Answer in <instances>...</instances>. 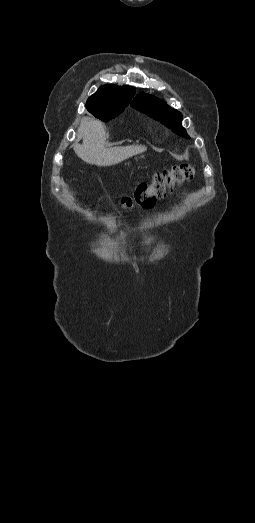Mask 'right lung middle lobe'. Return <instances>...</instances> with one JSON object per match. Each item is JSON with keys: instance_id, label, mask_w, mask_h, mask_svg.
<instances>
[{"instance_id": "obj_1", "label": "right lung middle lobe", "mask_w": 255, "mask_h": 523, "mask_svg": "<svg viewBox=\"0 0 255 523\" xmlns=\"http://www.w3.org/2000/svg\"><path fill=\"white\" fill-rule=\"evenodd\" d=\"M130 101L127 102H118V103H108V104H97L87 107V110L94 115L96 118H99L102 121H109L111 118H115L121 112L124 111L125 107L129 105Z\"/></svg>"}]
</instances>
